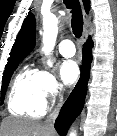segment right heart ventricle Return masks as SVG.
<instances>
[{
  "label": "right heart ventricle",
  "mask_w": 117,
  "mask_h": 136,
  "mask_svg": "<svg viewBox=\"0 0 117 136\" xmlns=\"http://www.w3.org/2000/svg\"><path fill=\"white\" fill-rule=\"evenodd\" d=\"M12 114L40 118L45 113V104L38 93L37 71L22 69L15 76L8 98Z\"/></svg>",
  "instance_id": "1"
}]
</instances>
